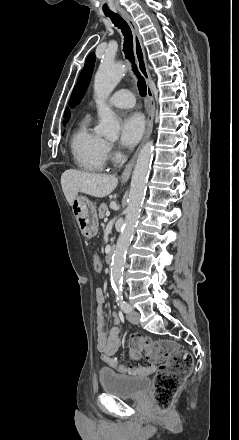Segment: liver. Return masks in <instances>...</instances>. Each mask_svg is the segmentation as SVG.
Wrapping results in <instances>:
<instances>
[{"mask_svg":"<svg viewBox=\"0 0 239 440\" xmlns=\"http://www.w3.org/2000/svg\"><path fill=\"white\" fill-rule=\"evenodd\" d=\"M117 184V178L108 176V174H89V172H80V170H66L61 176L62 190L70 206H73L79 192L94 196V198H105L115 190Z\"/></svg>","mask_w":239,"mask_h":440,"instance_id":"1","label":"liver"}]
</instances>
